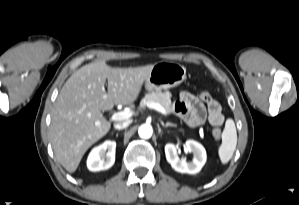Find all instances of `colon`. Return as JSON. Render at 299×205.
Masks as SVG:
<instances>
[{"label": "colon", "mask_w": 299, "mask_h": 205, "mask_svg": "<svg viewBox=\"0 0 299 205\" xmlns=\"http://www.w3.org/2000/svg\"><path fill=\"white\" fill-rule=\"evenodd\" d=\"M200 98H201L202 100H204V101H209L210 98H211V96H210L209 92H207V91H202V92L200 93ZM212 135H213V137H214L216 140H220L221 135H222L221 129H220L219 127H215V128H213V130H212Z\"/></svg>", "instance_id": "5ec220e1"}]
</instances>
